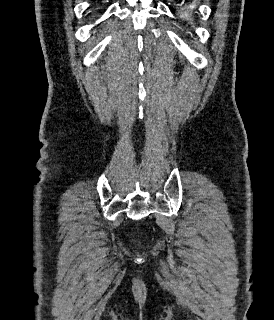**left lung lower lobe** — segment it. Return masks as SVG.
<instances>
[{"label":"left lung lower lobe","mask_w":274,"mask_h":320,"mask_svg":"<svg viewBox=\"0 0 274 320\" xmlns=\"http://www.w3.org/2000/svg\"><path fill=\"white\" fill-rule=\"evenodd\" d=\"M179 9H190L192 0H175Z\"/></svg>","instance_id":"obj_1"}]
</instances>
